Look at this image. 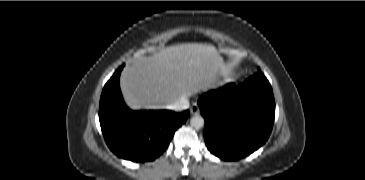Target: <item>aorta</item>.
<instances>
[{"instance_id":"obj_1","label":"aorta","mask_w":365,"mask_h":180,"mask_svg":"<svg viewBox=\"0 0 365 180\" xmlns=\"http://www.w3.org/2000/svg\"><path fill=\"white\" fill-rule=\"evenodd\" d=\"M204 118L200 115L193 116L190 120V124L192 127L196 129H200L204 126Z\"/></svg>"}]
</instances>
